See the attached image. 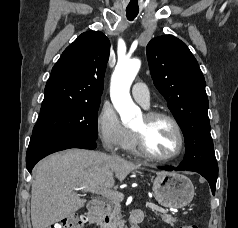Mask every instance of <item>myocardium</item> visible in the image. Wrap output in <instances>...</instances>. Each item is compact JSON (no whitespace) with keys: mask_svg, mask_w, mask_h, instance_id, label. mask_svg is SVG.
<instances>
[{"mask_svg":"<svg viewBox=\"0 0 238 228\" xmlns=\"http://www.w3.org/2000/svg\"><path fill=\"white\" fill-rule=\"evenodd\" d=\"M144 117L149 122H152L157 119H165L169 121L176 132L177 139H178V146L176 151L170 156H167V157L156 156L149 151L145 142L144 134L139 131L133 130L136 146L139 153L143 155L144 157L153 161H157V162H170L177 159L183 152L184 145H185L183 131L178 121L172 115L162 111H148L144 114Z\"/></svg>","mask_w":238,"mask_h":228,"instance_id":"1","label":"myocardium"}]
</instances>
